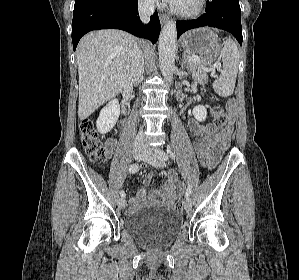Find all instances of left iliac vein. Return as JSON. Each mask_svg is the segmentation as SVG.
<instances>
[{"mask_svg":"<svg viewBox=\"0 0 299 280\" xmlns=\"http://www.w3.org/2000/svg\"><path fill=\"white\" fill-rule=\"evenodd\" d=\"M143 161L155 166V167H164L165 163L163 160L159 159L157 155L154 154L152 149H147L145 152L144 157L142 158ZM184 208L186 211H190L192 208V203L189 198H187L184 202Z\"/></svg>","mask_w":299,"mask_h":280,"instance_id":"1","label":"left iliac vein"}]
</instances>
